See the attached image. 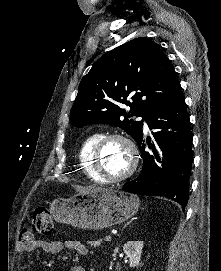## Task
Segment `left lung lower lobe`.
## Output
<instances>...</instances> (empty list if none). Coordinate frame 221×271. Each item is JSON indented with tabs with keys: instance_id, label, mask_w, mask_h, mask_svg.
<instances>
[{
	"instance_id": "1",
	"label": "left lung lower lobe",
	"mask_w": 221,
	"mask_h": 271,
	"mask_svg": "<svg viewBox=\"0 0 221 271\" xmlns=\"http://www.w3.org/2000/svg\"><path fill=\"white\" fill-rule=\"evenodd\" d=\"M146 122L150 130H157L152 135L162 153L158 155L149 142L150 137L147 143L155 156L145 152L141 128L136 142L141 148L143 169L136 179L124 184L123 190L139 195L165 196L184 209L189 199L193 135L180 85L165 104L146 118Z\"/></svg>"
}]
</instances>
